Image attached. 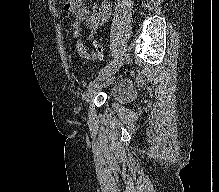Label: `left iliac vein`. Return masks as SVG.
<instances>
[{
	"label": "left iliac vein",
	"instance_id": "1",
	"mask_svg": "<svg viewBox=\"0 0 219 192\" xmlns=\"http://www.w3.org/2000/svg\"><path fill=\"white\" fill-rule=\"evenodd\" d=\"M124 62V57H118L114 60L110 68L98 75L95 80L91 81L84 93V100L90 101L102 89L104 85H109L113 82V76L119 71Z\"/></svg>",
	"mask_w": 219,
	"mask_h": 192
}]
</instances>
